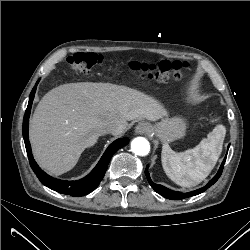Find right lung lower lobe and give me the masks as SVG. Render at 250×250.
Segmentation results:
<instances>
[{
    "label": "right lung lower lobe",
    "instance_id": "98d812e1",
    "mask_svg": "<svg viewBox=\"0 0 250 250\" xmlns=\"http://www.w3.org/2000/svg\"><path fill=\"white\" fill-rule=\"evenodd\" d=\"M38 82L39 80L37 81L36 85L34 86L30 94L29 103H28V106L24 115V119H23V137H24V142H25L30 166L33 169L36 176L38 177V179L50 189L56 192H59L61 194H67V195H71L74 197L84 196L97 188V186L99 185V183L101 182V180L103 179L105 175V172L107 170V166L109 164L111 157L114 155V153L118 149L127 145L129 142V139L120 138L114 141L107 148V150L101 157L96 167L83 179H80L77 181H65V180H59V179L49 176L43 170H41V168L33 159L31 146H30V142L28 139L29 116H30L32 101L34 99V95L36 92V87H37Z\"/></svg>",
    "mask_w": 250,
    "mask_h": 250
}]
</instances>
